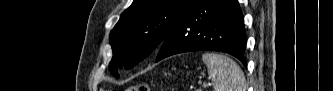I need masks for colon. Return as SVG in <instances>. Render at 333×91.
<instances>
[{"label": "colon", "instance_id": "obj_1", "mask_svg": "<svg viewBox=\"0 0 333 91\" xmlns=\"http://www.w3.org/2000/svg\"><path fill=\"white\" fill-rule=\"evenodd\" d=\"M149 88L146 84H135L132 85L128 91H148Z\"/></svg>", "mask_w": 333, "mask_h": 91}]
</instances>
